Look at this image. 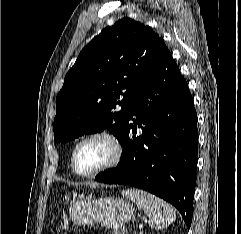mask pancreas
Returning a JSON list of instances; mask_svg holds the SVG:
<instances>
[{"label":"pancreas","mask_w":241,"mask_h":234,"mask_svg":"<svg viewBox=\"0 0 241 234\" xmlns=\"http://www.w3.org/2000/svg\"><path fill=\"white\" fill-rule=\"evenodd\" d=\"M110 234H126L125 229H114Z\"/></svg>","instance_id":"obj_1"}]
</instances>
